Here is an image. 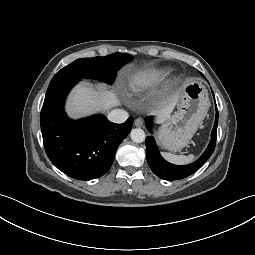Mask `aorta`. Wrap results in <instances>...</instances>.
<instances>
[{"mask_svg": "<svg viewBox=\"0 0 255 255\" xmlns=\"http://www.w3.org/2000/svg\"><path fill=\"white\" fill-rule=\"evenodd\" d=\"M130 137L134 142L141 143L145 140V132L140 128H135L132 129Z\"/></svg>", "mask_w": 255, "mask_h": 255, "instance_id": "762f6f07", "label": "aorta"}]
</instances>
